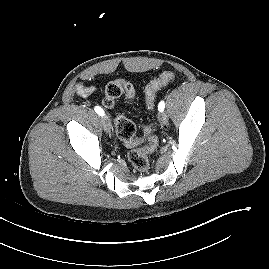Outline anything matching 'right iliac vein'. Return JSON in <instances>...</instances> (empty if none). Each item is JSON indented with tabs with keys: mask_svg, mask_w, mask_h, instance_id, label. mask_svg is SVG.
Instances as JSON below:
<instances>
[{
	"mask_svg": "<svg viewBox=\"0 0 269 269\" xmlns=\"http://www.w3.org/2000/svg\"><path fill=\"white\" fill-rule=\"evenodd\" d=\"M102 125H103V128L106 132L111 131V128H112L111 121L107 116L102 118Z\"/></svg>",
	"mask_w": 269,
	"mask_h": 269,
	"instance_id": "63e3f726",
	"label": "right iliac vein"
}]
</instances>
